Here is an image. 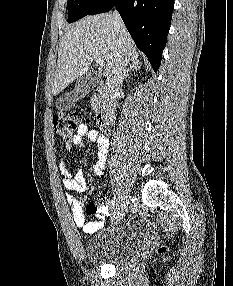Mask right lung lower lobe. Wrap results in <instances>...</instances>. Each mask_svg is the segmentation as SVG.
<instances>
[{
    "mask_svg": "<svg viewBox=\"0 0 233 286\" xmlns=\"http://www.w3.org/2000/svg\"><path fill=\"white\" fill-rule=\"evenodd\" d=\"M114 6L136 46L157 71L166 45L174 0H101L89 15L107 12Z\"/></svg>",
    "mask_w": 233,
    "mask_h": 286,
    "instance_id": "98d812e1",
    "label": "right lung lower lobe"
}]
</instances>
